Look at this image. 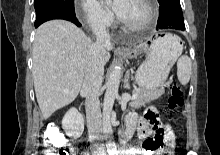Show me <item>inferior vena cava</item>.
Returning a JSON list of instances; mask_svg holds the SVG:
<instances>
[{
  "label": "inferior vena cava",
  "mask_w": 220,
  "mask_h": 155,
  "mask_svg": "<svg viewBox=\"0 0 220 155\" xmlns=\"http://www.w3.org/2000/svg\"><path fill=\"white\" fill-rule=\"evenodd\" d=\"M92 31L96 37L90 49V59L85 71L81 93L85 96L87 127L90 137L102 133L99 96L103 81L106 49L111 47L110 36L102 22H94Z\"/></svg>",
  "instance_id": "inferior-vena-cava-1"
}]
</instances>
